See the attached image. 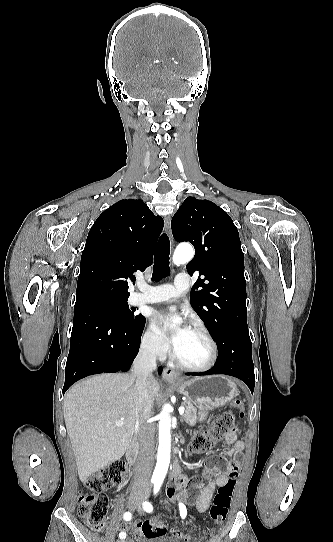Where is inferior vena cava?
I'll return each mask as SVG.
<instances>
[{
    "label": "inferior vena cava",
    "mask_w": 333,
    "mask_h": 542,
    "mask_svg": "<svg viewBox=\"0 0 333 542\" xmlns=\"http://www.w3.org/2000/svg\"><path fill=\"white\" fill-rule=\"evenodd\" d=\"M156 354L152 350H140L132 366V374L136 376V390L138 394L137 432L139 440V452L134 468L133 488H150V476L155 456V428L148 424L154 396L149 390L151 380H154L152 372L156 370Z\"/></svg>",
    "instance_id": "602c4592"
}]
</instances>
